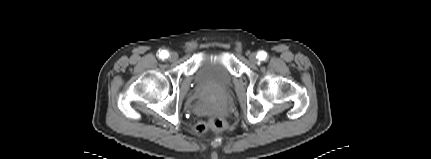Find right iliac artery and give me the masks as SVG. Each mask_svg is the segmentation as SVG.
Returning a JSON list of instances; mask_svg holds the SVG:
<instances>
[{
	"mask_svg": "<svg viewBox=\"0 0 431 159\" xmlns=\"http://www.w3.org/2000/svg\"><path fill=\"white\" fill-rule=\"evenodd\" d=\"M169 56V53L166 51V50H162L160 53H159V57L161 58V59H165V58H167Z\"/></svg>",
	"mask_w": 431,
	"mask_h": 159,
	"instance_id": "1",
	"label": "right iliac artery"
}]
</instances>
